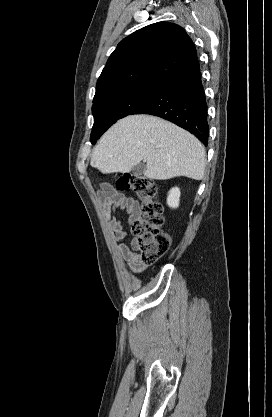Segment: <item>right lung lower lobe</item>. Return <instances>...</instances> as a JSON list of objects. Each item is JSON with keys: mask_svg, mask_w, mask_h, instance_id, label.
<instances>
[{"mask_svg": "<svg viewBox=\"0 0 272 417\" xmlns=\"http://www.w3.org/2000/svg\"><path fill=\"white\" fill-rule=\"evenodd\" d=\"M133 114H150L167 119L207 145V104L198 59L164 81L150 100Z\"/></svg>", "mask_w": 272, "mask_h": 417, "instance_id": "1", "label": "right lung lower lobe"}]
</instances>
